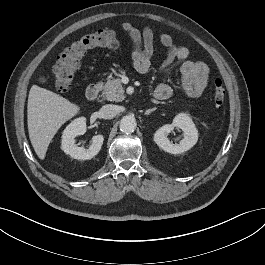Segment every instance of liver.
I'll return each mask as SVG.
<instances>
[{
    "instance_id": "obj_1",
    "label": "liver",
    "mask_w": 265,
    "mask_h": 265,
    "mask_svg": "<svg viewBox=\"0 0 265 265\" xmlns=\"http://www.w3.org/2000/svg\"><path fill=\"white\" fill-rule=\"evenodd\" d=\"M79 106L64 97L33 85L29 91L27 124L31 144L43 160L59 128L79 112Z\"/></svg>"
}]
</instances>
